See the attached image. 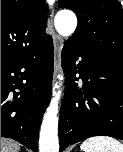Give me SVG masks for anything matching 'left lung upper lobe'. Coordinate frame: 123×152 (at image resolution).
Segmentation results:
<instances>
[{
    "instance_id": "5c2ea615",
    "label": "left lung upper lobe",
    "mask_w": 123,
    "mask_h": 152,
    "mask_svg": "<svg viewBox=\"0 0 123 152\" xmlns=\"http://www.w3.org/2000/svg\"><path fill=\"white\" fill-rule=\"evenodd\" d=\"M75 12L78 25L67 42L102 59L123 64V10L117 0H59Z\"/></svg>"
}]
</instances>
